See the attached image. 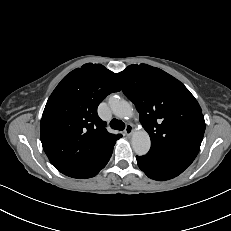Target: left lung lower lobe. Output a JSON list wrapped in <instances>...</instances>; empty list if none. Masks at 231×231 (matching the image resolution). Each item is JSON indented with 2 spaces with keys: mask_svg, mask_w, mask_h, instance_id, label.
Returning <instances> with one entry per match:
<instances>
[{
  "mask_svg": "<svg viewBox=\"0 0 231 231\" xmlns=\"http://www.w3.org/2000/svg\"><path fill=\"white\" fill-rule=\"evenodd\" d=\"M139 168L151 179L164 181L172 179L188 168L193 161L149 152L136 156Z\"/></svg>",
  "mask_w": 231,
  "mask_h": 231,
  "instance_id": "1",
  "label": "left lung lower lobe"
}]
</instances>
